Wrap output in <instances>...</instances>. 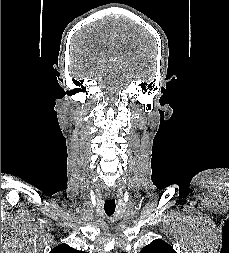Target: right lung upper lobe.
<instances>
[{
    "label": "right lung upper lobe",
    "mask_w": 229,
    "mask_h": 253,
    "mask_svg": "<svg viewBox=\"0 0 229 253\" xmlns=\"http://www.w3.org/2000/svg\"><path fill=\"white\" fill-rule=\"evenodd\" d=\"M50 253H86L83 251L76 250L74 248H71L70 246L66 244L59 245L55 248H53Z\"/></svg>",
    "instance_id": "cb5924a9"
}]
</instances>
